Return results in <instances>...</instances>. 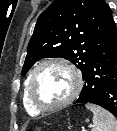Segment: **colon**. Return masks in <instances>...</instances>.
Wrapping results in <instances>:
<instances>
[{"mask_svg": "<svg viewBox=\"0 0 117 131\" xmlns=\"http://www.w3.org/2000/svg\"><path fill=\"white\" fill-rule=\"evenodd\" d=\"M30 131H40V129L37 128V129H34V130H30Z\"/></svg>", "mask_w": 117, "mask_h": 131, "instance_id": "1", "label": "colon"}]
</instances>
